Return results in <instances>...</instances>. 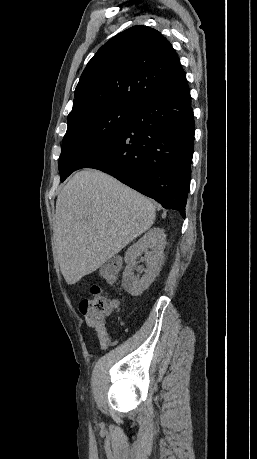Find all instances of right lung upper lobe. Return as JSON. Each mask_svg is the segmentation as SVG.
Instances as JSON below:
<instances>
[{
	"label": "right lung upper lobe",
	"mask_w": 257,
	"mask_h": 459,
	"mask_svg": "<svg viewBox=\"0 0 257 459\" xmlns=\"http://www.w3.org/2000/svg\"><path fill=\"white\" fill-rule=\"evenodd\" d=\"M184 75L175 50L159 31L133 26L111 38L88 62L67 123L106 107H136Z\"/></svg>",
	"instance_id": "1"
}]
</instances>
